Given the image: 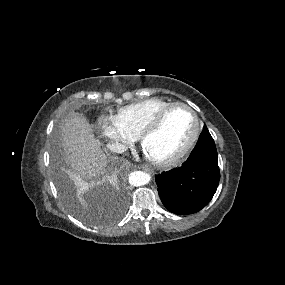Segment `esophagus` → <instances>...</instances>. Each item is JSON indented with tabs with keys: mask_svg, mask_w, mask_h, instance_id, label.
<instances>
[{
	"mask_svg": "<svg viewBox=\"0 0 285 285\" xmlns=\"http://www.w3.org/2000/svg\"><path fill=\"white\" fill-rule=\"evenodd\" d=\"M143 170L151 171V168L148 165L141 166Z\"/></svg>",
	"mask_w": 285,
	"mask_h": 285,
	"instance_id": "34e87169",
	"label": "esophagus"
}]
</instances>
